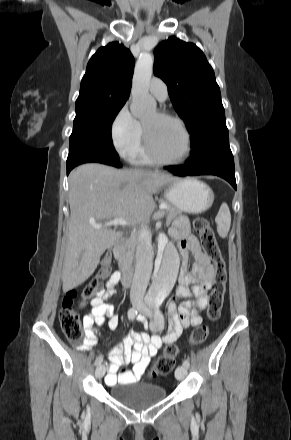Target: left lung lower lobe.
Returning <instances> with one entry per match:
<instances>
[{
	"label": "left lung lower lobe",
	"mask_w": 291,
	"mask_h": 440,
	"mask_svg": "<svg viewBox=\"0 0 291 440\" xmlns=\"http://www.w3.org/2000/svg\"><path fill=\"white\" fill-rule=\"evenodd\" d=\"M176 176L217 175L227 180L235 189L234 158L229 146V137H220L197 154L185 165L166 166Z\"/></svg>",
	"instance_id": "1"
}]
</instances>
